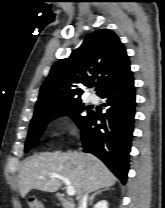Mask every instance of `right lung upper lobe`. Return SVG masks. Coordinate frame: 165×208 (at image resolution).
Instances as JSON below:
<instances>
[{"mask_svg": "<svg viewBox=\"0 0 165 208\" xmlns=\"http://www.w3.org/2000/svg\"><path fill=\"white\" fill-rule=\"evenodd\" d=\"M130 61L118 36L109 29L89 34L68 58L56 62L42 84L35 112L58 103L79 100L81 85L97 81V94L130 73Z\"/></svg>", "mask_w": 165, "mask_h": 208, "instance_id": "1", "label": "right lung upper lobe"}]
</instances>
